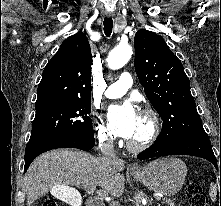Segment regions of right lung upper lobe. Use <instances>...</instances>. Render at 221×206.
I'll list each match as a JSON object with an SVG mask.
<instances>
[{
	"instance_id": "cb5924a9",
	"label": "right lung upper lobe",
	"mask_w": 221,
	"mask_h": 206,
	"mask_svg": "<svg viewBox=\"0 0 221 206\" xmlns=\"http://www.w3.org/2000/svg\"><path fill=\"white\" fill-rule=\"evenodd\" d=\"M91 48L86 35L68 37L46 65L36 107L53 103H91Z\"/></svg>"
}]
</instances>
